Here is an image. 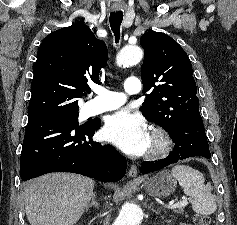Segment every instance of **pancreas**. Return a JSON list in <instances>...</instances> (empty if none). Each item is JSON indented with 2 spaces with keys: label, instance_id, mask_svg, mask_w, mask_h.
<instances>
[{
  "label": "pancreas",
  "instance_id": "pancreas-1",
  "mask_svg": "<svg viewBox=\"0 0 237 225\" xmlns=\"http://www.w3.org/2000/svg\"><path fill=\"white\" fill-rule=\"evenodd\" d=\"M174 212H176V213H183L184 212V208L183 207L178 208V209L174 210Z\"/></svg>",
  "mask_w": 237,
  "mask_h": 225
}]
</instances>
